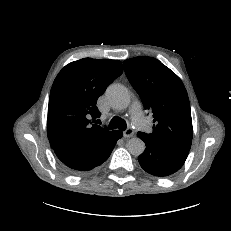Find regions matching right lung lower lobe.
<instances>
[{
    "label": "right lung lower lobe",
    "mask_w": 231,
    "mask_h": 231,
    "mask_svg": "<svg viewBox=\"0 0 231 231\" xmlns=\"http://www.w3.org/2000/svg\"><path fill=\"white\" fill-rule=\"evenodd\" d=\"M122 135L121 131H111L103 138L89 144L56 147L53 150L69 173L81 174L106 161Z\"/></svg>",
    "instance_id": "1"
}]
</instances>
